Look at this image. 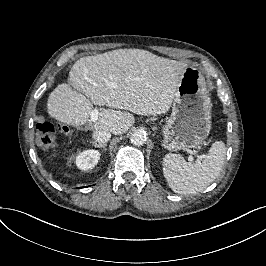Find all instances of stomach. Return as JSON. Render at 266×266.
<instances>
[{
  "instance_id": "stomach-1",
  "label": "stomach",
  "mask_w": 266,
  "mask_h": 266,
  "mask_svg": "<svg viewBox=\"0 0 266 266\" xmlns=\"http://www.w3.org/2000/svg\"><path fill=\"white\" fill-rule=\"evenodd\" d=\"M212 103L202 73L187 66L180 76L172 113L162 129L163 146L169 151L199 145L211 130Z\"/></svg>"
}]
</instances>
